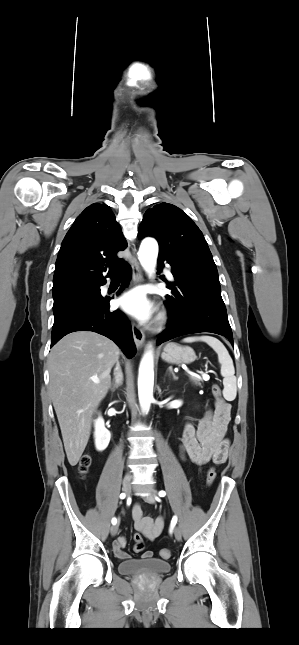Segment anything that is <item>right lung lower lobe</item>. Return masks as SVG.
<instances>
[{"label":"right lung lower lobe","mask_w":299,"mask_h":645,"mask_svg":"<svg viewBox=\"0 0 299 645\" xmlns=\"http://www.w3.org/2000/svg\"><path fill=\"white\" fill-rule=\"evenodd\" d=\"M131 278V268L124 265V288ZM103 282L99 286L104 285ZM110 298L101 297L93 303L77 306L54 320L52 328L51 347L65 335L75 331H93L113 340L125 353L132 358L136 353L131 325L120 311H109Z\"/></svg>","instance_id":"1"}]
</instances>
